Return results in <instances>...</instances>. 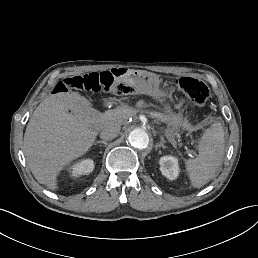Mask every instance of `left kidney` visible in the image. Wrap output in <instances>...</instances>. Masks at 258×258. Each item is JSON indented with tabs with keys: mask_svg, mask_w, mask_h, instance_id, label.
Here are the masks:
<instances>
[{
	"mask_svg": "<svg viewBox=\"0 0 258 258\" xmlns=\"http://www.w3.org/2000/svg\"><path fill=\"white\" fill-rule=\"evenodd\" d=\"M162 175L170 180H174L179 175L178 159L173 156H163L159 160Z\"/></svg>",
	"mask_w": 258,
	"mask_h": 258,
	"instance_id": "1",
	"label": "left kidney"
}]
</instances>
